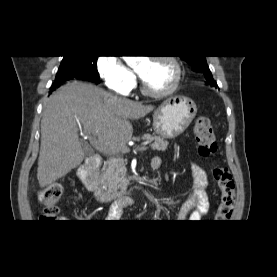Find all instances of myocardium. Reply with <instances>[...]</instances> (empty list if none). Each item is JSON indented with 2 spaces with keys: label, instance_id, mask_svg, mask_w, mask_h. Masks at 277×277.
<instances>
[{
  "label": "myocardium",
  "instance_id": "f54148a6",
  "mask_svg": "<svg viewBox=\"0 0 277 277\" xmlns=\"http://www.w3.org/2000/svg\"><path fill=\"white\" fill-rule=\"evenodd\" d=\"M151 60L167 62L174 71L173 80L168 88H166L162 91H153V90H150L146 86V84L144 83V80L142 79L141 75L139 74V77L141 80V92L144 95L152 97V98H163V97H167V96L173 94L176 91V89L178 88V86L181 82V78H182V68H181L179 61L175 57L169 56V55H159V56L151 57Z\"/></svg>",
  "mask_w": 277,
  "mask_h": 277
}]
</instances>
